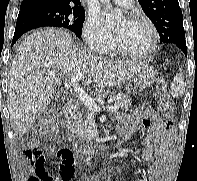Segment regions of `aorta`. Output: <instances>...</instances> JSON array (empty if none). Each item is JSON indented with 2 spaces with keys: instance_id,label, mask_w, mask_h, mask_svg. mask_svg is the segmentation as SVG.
Wrapping results in <instances>:
<instances>
[{
  "instance_id": "obj_1",
  "label": "aorta",
  "mask_w": 197,
  "mask_h": 181,
  "mask_svg": "<svg viewBox=\"0 0 197 181\" xmlns=\"http://www.w3.org/2000/svg\"><path fill=\"white\" fill-rule=\"evenodd\" d=\"M101 2L106 3L107 5H109L110 0H101ZM116 18H118V16L116 15Z\"/></svg>"
}]
</instances>
